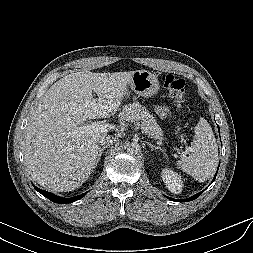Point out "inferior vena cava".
<instances>
[{
  "mask_svg": "<svg viewBox=\"0 0 253 253\" xmlns=\"http://www.w3.org/2000/svg\"><path fill=\"white\" fill-rule=\"evenodd\" d=\"M117 140H116V138L115 137H112V136H103V137H101L100 138V140H99V143H100V145H104V146H107V145H110V144H113V143H115Z\"/></svg>",
  "mask_w": 253,
  "mask_h": 253,
  "instance_id": "obj_1",
  "label": "inferior vena cava"
}]
</instances>
